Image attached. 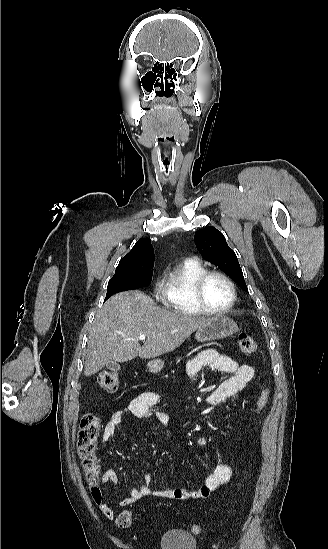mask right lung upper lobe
<instances>
[{
	"instance_id": "right-lung-upper-lobe-1",
	"label": "right lung upper lobe",
	"mask_w": 328,
	"mask_h": 549,
	"mask_svg": "<svg viewBox=\"0 0 328 549\" xmlns=\"http://www.w3.org/2000/svg\"><path fill=\"white\" fill-rule=\"evenodd\" d=\"M153 260L154 250L151 245V240L149 238L140 239L136 242L132 250L120 260L116 271L128 268L141 262Z\"/></svg>"
}]
</instances>
